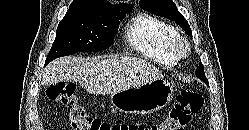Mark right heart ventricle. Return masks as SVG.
Listing matches in <instances>:
<instances>
[{
  "instance_id": "right-heart-ventricle-1",
  "label": "right heart ventricle",
  "mask_w": 249,
  "mask_h": 130,
  "mask_svg": "<svg viewBox=\"0 0 249 130\" xmlns=\"http://www.w3.org/2000/svg\"><path fill=\"white\" fill-rule=\"evenodd\" d=\"M177 31L167 22L140 14L133 18L126 29L125 38L132 49L159 64L175 65L178 58L172 53L170 44Z\"/></svg>"
}]
</instances>
